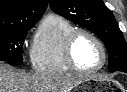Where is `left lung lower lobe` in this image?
Returning a JSON list of instances; mask_svg holds the SVG:
<instances>
[{
    "instance_id": "0a47b994",
    "label": "left lung lower lobe",
    "mask_w": 127,
    "mask_h": 92,
    "mask_svg": "<svg viewBox=\"0 0 127 92\" xmlns=\"http://www.w3.org/2000/svg\"><path fill=\"white\" fill-rule=\"evenodd\" d=\"M122 71L127 73V69H124V70H122Z\"/></svg>"
}]
</instances>
